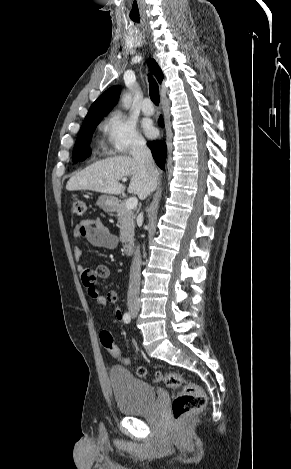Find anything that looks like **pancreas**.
<instances>
[{"label": "pancreas", "instance_id": "cf45deb5", "mask_svg": "<svg viewBox=\"0 0 291 469\" xmlns=\"http://www.w3.org/2000/svg\"><path fill=\"white\" fill-rule=\"evenodd\" d=\"M116 216L120 225V241L132 243L134 238V212L127 209L126 203L121 202L116 208Z\"/></svg>", "mask_w": 291, "mask_h": 469}]
</instances>
